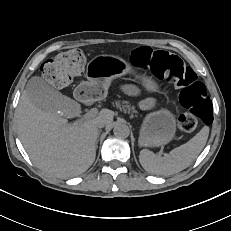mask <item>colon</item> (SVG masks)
<instances>
[{"label": "colon", "mask_w": 231, "mask_h": 231, "mask_svg": "<svg viewBox=\"0 0 231 231\" xmlns=\"http://www.w3.org/2000/svg\"><path fill=\"white\" fill-rule=\"evenodd\" d=\"M130 61L135 66L150 71L155 77L165 78L180 88L179 100L186 109L178 118L177 127L180 132L189 133L200 122H211L212 104L207 89L181 57L164 50L140 47L132 51ZM85 62L84 53L74 49L46 60L41 66V72L50 84L63 87L81 74Z\"/></svg>", "instance_id": "1"}]
</instances>
